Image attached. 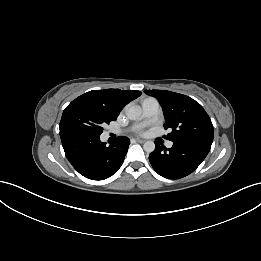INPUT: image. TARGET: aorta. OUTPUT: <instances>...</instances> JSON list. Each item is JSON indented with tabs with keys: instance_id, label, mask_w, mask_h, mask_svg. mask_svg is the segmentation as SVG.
I'll use <instances>...</instances> for the list:
<instances>
[{
	"instance_id": "obj_1",
	"label": "aorta",
	"mask_w": 261,
	"mask_h": 261,
	"mask_svg": "<svg viewBox=\"0 0 261 261\" xmlns=\"http://www.w3.org/2000/svg\"><path fill=\"white\" fill-rule=\"evenodd\" d=\"M142 114V109L138 105H131L126 108V115L130 120H137ZM143 149L147 153H151L155 150V143L153 141H146L143 145Z\"/></svg>"
}]
</instances>
